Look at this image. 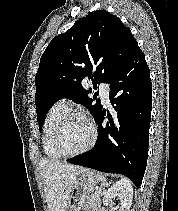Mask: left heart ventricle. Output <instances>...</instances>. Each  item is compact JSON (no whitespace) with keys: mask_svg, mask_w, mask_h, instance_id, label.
<instances>
[{"mask_svg":"<svg viewBox=\"0 0 178 211\" xmlns=\"http://www.w3.org/2000/svg\"><path fill=\"white\" fill-rule=\"evenodd\" d=\"M90 140L89 124L82 118H72L62 132L60 138L61 150L74 153L84 148Z\"/></svg>","mask_w":178,"mask_h":211,"instance_id":"b2bd125f","label":"left heart ventricle"}]
</instances>
